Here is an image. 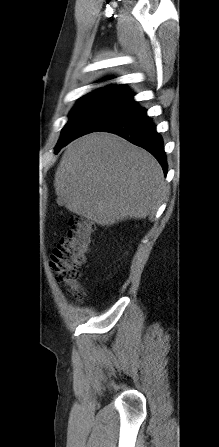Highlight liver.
<instances>
[{"label":"liver","mask_w":219,"mask_h":447,"mask_svg":"<svg viewBox=\"0 0 219 447\" xmlns=\"http://www.w3.org/2000/svg\"><path fill=\"white\" fill-rule=\"evenodd\" d=\"M54 187L59 205L102 226L146 218L161 205L166 191L158 161L109 133L71 142L55 173Z\"/></svg>","instance_id":"obj_1"}]
</instances>
